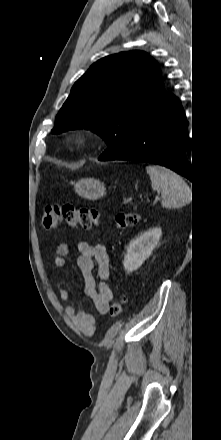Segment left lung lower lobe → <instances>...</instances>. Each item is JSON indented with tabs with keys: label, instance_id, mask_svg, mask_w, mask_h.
Returning a JSON list of instances; mask_svg holds the SVG:
<instances>
[{
	"label": "left lung lower lobe",
	"instance_id": "1",
	"mask_svg": "<svg viewBox=\"0 0 221 440\" xmlns=\"http://www.w3.org/2000/svg\"><path fill=\"white\" fill-rule=\"evenodd\" d=\"M188 121L181 103L169 92L143 113L134 126L127 150L114 160L150 162L170 168L193 182L186 157L191 146ZM102 160L101 157L98 158Z\"/></svg>",
	"mask_w": 221,
	"mask_h": 440
}]
</instances>
